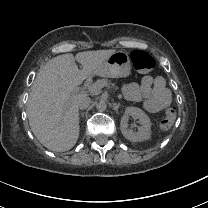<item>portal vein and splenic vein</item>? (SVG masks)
Masks as SVG:
<instances>
[{"label": "portal vein and splenic vein", "mask_w": 208, "mask_h": 208, "mask_svg": "<svg viewBox=\"0 0 208 208\" xmlns=\"http://www.w3.org/2000/svg\"><path fill=\"white\" fill-rule=\"evenodd\" d=\"M105 85H107V87H111V89H114V85L113 84H108L107 80H101L99 82H95L92 85L88 86V90L90 92H97L98 90H100L102 87H104Z\"/></svg>", "instance_id": "1"}]
</instances>
